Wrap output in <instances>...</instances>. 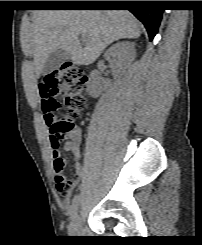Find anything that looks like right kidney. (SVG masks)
Here are the masks:
<instances>
[{
  "label": "right kidney",
  "instance_id": "right-kidney-1",
  "mask_svg": "<svg viewBox=\"0 0 202 245\" xmlns=\"http://www.w3.org/2000/svg\"><path fill=\"white\" fill-rule=\"evenodd\" d=\"M136 57L135 44L122 41L111 46L104 54V58L110 63L115 75L125 71ZM104 85L101 74L93 70L87 83V91L93 98H97L103 91Z\"/></svg>",
  "mask_w": 202,
  "mask_h": 245
}]
</instances>
